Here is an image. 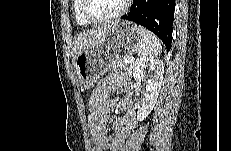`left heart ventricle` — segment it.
I'll return each instance as SVG.
<instances>
[{
  "label": "left heart ventricle",
  "instance_id": "1",
  "mask_svg": "<svg viewBox=\"0 0 231 151\" xmlns=\"http://www.w3.org/2000/svg\"><path fill=\"white\" fill-rule=\"evenodd\" d=\"M124 0H89L88 12L94 18H104L117 13Z\"/></svg>",
  "mask_w": 231,
  "mask_h": 151
}]
</instances>
